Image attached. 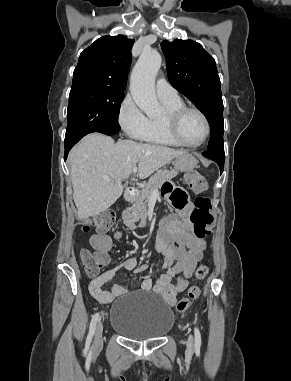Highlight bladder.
Instances as JSON below:
<instances>
[{"instance_id": "obj_1", "label": "bladder", "mask_w": 291, "mask_h": 381, "mask_svg": "<svg viewBox=\"0 0 291 381\" xmlns=\"http://www.w3.org/2000/svg\"><path fill=\"white\" fill-rule=\"evenodd\" d=\"M175 316L171 307L157 297H139L128 293L113 302L110 327L133 340L158 339L173 328Z\"/></svg>"}]
</instances>
